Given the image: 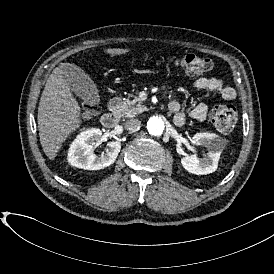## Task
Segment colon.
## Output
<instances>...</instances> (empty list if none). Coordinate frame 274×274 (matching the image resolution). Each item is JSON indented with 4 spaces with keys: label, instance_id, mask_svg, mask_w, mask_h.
Returning <instances> with one entry per match:
<instances>
[{
    "label": "colon",
    "instance_id": "colon-1",
    "mask_svg": "<svg viewBox=\"0 0 274 274\" xmlns=\"http://www.w3.org/2000/svg\"><path fill=\"white\" fill-rule=\"evenodd\" d=\"M162 60L188 74H202L212 69L211 59L194 53L163 57ZM96 107V103H91L85 107L84 111L91 114L95 112ZM211 121L218 131L228 133L234 129L237 123V111L229 104L220 105L212 111Z\"/></svg>",
    "mask_w": 274,
    "mask_h": 274
}]
</instances>
